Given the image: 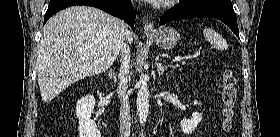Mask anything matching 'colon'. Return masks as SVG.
<instances>
[{
    "label": "colon",
    "instance_id": "1",
    "mask_svg": "<svg viewBox=\"0 0 280 137\" xmlns=\"http://www.w3.org/2000/svg\"><path fill=\"white\" fill-rule=\"evenodd\" d=\"M237 97L236 79L232 71L226 70L222 75V102L224 106V127L231 128L234 116V105Z\"/></svg>",
    "mask_w": 280,
    "mask_h": 137
}]
</instances>
